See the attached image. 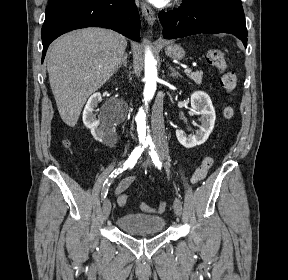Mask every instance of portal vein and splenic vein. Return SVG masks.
Here are the masks:
<instances>
[{"label":"portal vein and splenic vein","mask_w":288,"mask_h":280,"mask_svg":"<svg viewBox=\"0 0 288 280\" xmlns=\"http://www.w3.org/2000/svg\"><path fill=\"white\" fill-rule=\"evenodd\" d=\"M192 70L190 68H187L184 70L185 73H190Z\"/></svg>","instance_id":"obj_1"}]
</instances>
